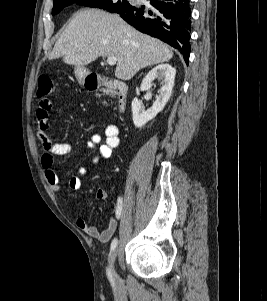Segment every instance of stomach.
I'll return each instance as SVG.
<instances>
[{"label":"stomach","mask_w":267,"mask_h":301,"mask_svg":"<svg viewBox=\"0 0 267 301\" xmlns=\"http://www.w3.org/2000/svg\"><path fill=\"white\" fill-rule=\"evenodd\" d=\"M75 74H76L77 79L80 82L84 81V76H85V70L84 69H82V68H76Z\"/></svg>","instance_id":"stomach-1"}]
</instances>
